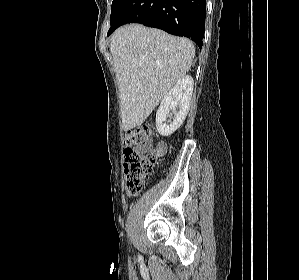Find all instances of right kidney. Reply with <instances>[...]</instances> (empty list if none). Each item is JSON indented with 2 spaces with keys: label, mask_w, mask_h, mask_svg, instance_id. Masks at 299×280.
<instances>
[{
  "label": "right kidney",
  "mask_w": 299,
  "mask_h": 280,
  "mask_svg": "<svg viewBox=\"0 0 299 280\" xmlns=\"http://www.w3.org/2000/svg\"><path fill=\"white\" fill-rule=\"evenodd\" d=\"M193 85V78L185 75L162 99L156 112V128L162 136H170L183 124L190 108ZM169 111L174 113L175 117L171 123L167 124L166 118Z\"/></svg>",
  "instance_id": "obj_1"
}]
</instances>
